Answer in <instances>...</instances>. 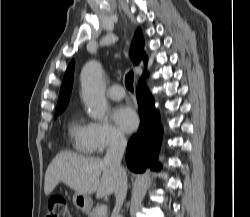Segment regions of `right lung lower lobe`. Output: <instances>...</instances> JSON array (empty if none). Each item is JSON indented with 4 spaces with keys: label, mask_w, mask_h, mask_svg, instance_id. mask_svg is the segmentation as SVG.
I'll return each instance as SVG.
<instances>
[{
    "label": "right lung lower lobe",
    "mask_w": 250,
    "mask_h": 217,
    "mask_svg": "<svg viewBox=\"0 0 250 217\" xmlns=\"http://www.w3.org/2000/svg\"><path fill=\"white\" fill-rule=\"evenodd\" d=\"M140 126L130 138L126 150V162L130 170L143 172L147 167H159L157 156L160 149L162 129L154 100L143 83L137 89Z\"/></svg>",
    "instance_id": "right-lung-lower-lobe-1"
}]
</instances>
